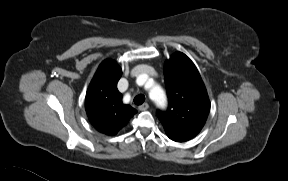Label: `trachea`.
Here are the masks:
<instances>
[{
    "label": "trachea",
    "instance_id": "1",
    "mask_svg": "<svg viewBox=\"0 0 288 181\" xmlns=\"http://www.w3.org/2000/svg\"><path fill=\"white\" fill-rule=\"evenodd\" d=\"M145 101V96L140 94V95H137L135 98H134V103L136 105H141L143 102Z\"/></svg>",
    "mask_w": 288,
    "mask_h": 181
}]
</instances>
